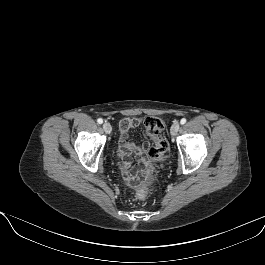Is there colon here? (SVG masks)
I'll return each instance as SVG.
<instances>
[{"instance_id": "colon-1", "label": "colon", "mask_w": 265, "mask_h": 265, "mask_svg": "<svg viewBox=\"0 0 265 265\" xmlns=\"http://www.w3.org/2000/svg\"><path fill=\"white\" fill-rule=\"evenodd\" d=\"M143 125L152 140V146L148 150V156L153 160L163 159L169 150V143L161 134L163 130L162 121L157 117H147L143 120ZM131 184L139 187V185L135 182H132ZM148 193V188L140 187L138 196L144 199Z\"/></svg>"}]
</instances>
